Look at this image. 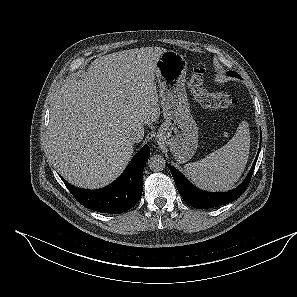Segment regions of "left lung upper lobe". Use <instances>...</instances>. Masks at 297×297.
<instances>
[{"mask_svg": "<svg viewBox=\"0 0 297 297\" xmlns=\"http://www.w3.org/2000/svg\"><path fill=\"white\" fill-rule=\"evenodd\" d=\"M227 74L230 75V76H234V77H239L240 78V75L238 73H236L235 71H228Z\"/></svg>", "mask_w": 297, "mask_h": 297, "instance_id": "5c2ea615", "label": "left lung upper lobe"}]
</instances>
